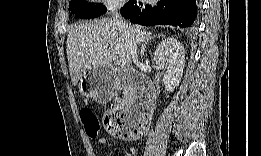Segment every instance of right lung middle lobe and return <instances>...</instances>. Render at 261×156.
Returning a JSON list of instances; mask_svg holds the SVG:
<instances>
[{"instance_id":"1","label":"right lung middle lobe","mask_w":261,"mask_h":156,"mask_svg":"<svg viewBox=\"0 0 261 156\" xmlns=\"http://www.w3.org/2000/svg\"><path fill=\"white\" fill-rule=\"evenodd\" d=\"M70 10L79 18H95L107 12V8L102 4H87L76 0H71Z\"/></svg>"}]
</instances>
